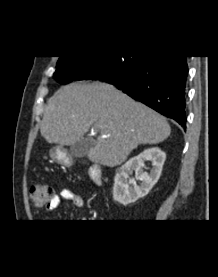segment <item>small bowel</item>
<instances>
[{"mask_svg":"<svg viewBox=\"0 0 218 277\" xmlns=\"http://www.w3.org/2000/svg\"><path fill=\"white\" fill-rule=\"evenodd\" d=\"M62 201L72 202L78 208H83L85 205L84 198L81 194L71 189L65 188L62 189L59 194L54 195L50 203L47 205V211H54L58 208Z\"/></svg>","mask_w":218,"mask_h":277,"instance_id":"c3829d8e","label":"small bowel"}]
</instances>
